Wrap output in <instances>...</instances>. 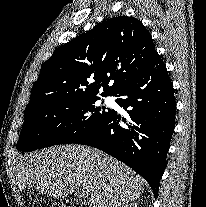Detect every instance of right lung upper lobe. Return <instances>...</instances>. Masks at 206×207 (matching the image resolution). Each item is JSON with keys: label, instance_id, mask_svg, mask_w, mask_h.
Wrapping results in <instances>:
<instances>
[{"label": "right lung upper lobe", "instance_id": "cb5924a9", "mask_svg": "<svg viewBox=\"0 0 206 207\" xmlns=\"http://www.w3.org/2000/svg\"><path fill=\"white\" fill-rule=\"evenodd\" d=\"M157 56L151 34L138 19H108L55 50L41 68L25 111L47 102L96 96L101 87L102 96H113Z\"/></svg>", "mask_w": 206, "mask_h": 207}]
</instances>
